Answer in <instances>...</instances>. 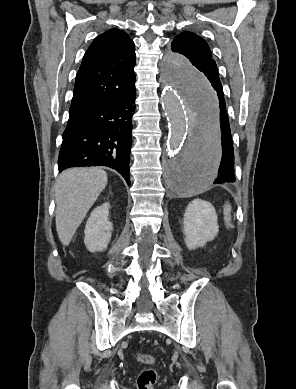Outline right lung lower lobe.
Returning <instances> with one entry per match:
<instances>
[{"mask_svg": "<svg viewBox=\"0 0 296 389\" xmlns=\"http://www.w3.org/2000/svg\"><path fill=\"white\" fill-rule=\"evenodd\" d=\"M135 81L118 98L69 116L58 158L62 170L80 166H108L130 185L129 157Z\"/></svg>", "mask_w": 296, "mask_h": 389, "instance_id": "right-lung-lower-lobe-1", "label": "right lung lower lobe"}]
</instances>
